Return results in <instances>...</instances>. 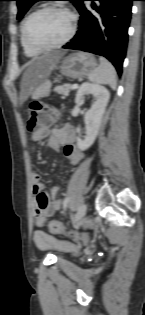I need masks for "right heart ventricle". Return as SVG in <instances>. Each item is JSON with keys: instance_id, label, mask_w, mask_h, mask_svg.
<instances>
[{"instance_id": "e07e8e85", "label": "right heart ventricle", "mask_w": 145, "mask_h": 315, "mask_svg": "<svg viewBox=\"0 0 145 315\" xmlns=\"http://www.w3.org/2000/svg\"><path fill=\"white\" fill-rule=\"evenodd\" d=\"M24 22H25V21H24ZM23 25H24V23H23ZM23 25H22L21 31H20V41H21V45H22V47H23V50H24L25 55L28 56V57H35V56L40 55V54H41V51L35 50V49L29 47V46L26 44V42H25V40H24V37H23Z\"/></svg>"}]
</instances>
